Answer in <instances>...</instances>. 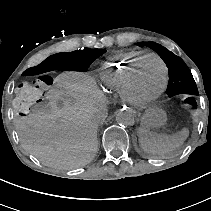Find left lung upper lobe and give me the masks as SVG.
Returning a JSON list of instances; mask_svg holds the SVG:
<instances>
[{"instance_id": "obj_1", "label": "left lung upper lobe", "mask_w": 211, "mask_h": 211, "mask_svg": "<svg viewBox=\"0 0 211 211\" xmlns=\"http://www.w3.org/2000/svg\"><path fill=\"white\" fill-rule=\"evenodd\" d=\"M137 45L150 47L156 51L166 63L169 69V83L166 90L167 95L172 97L178 94H187L189 97L185 101L194 107H197L194 97L198 95V89L194 78L184 61L155 42H139Z\"/></svg>"}]
</instances>
